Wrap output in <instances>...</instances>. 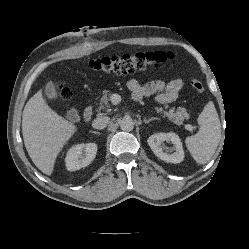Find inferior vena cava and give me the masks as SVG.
<instances>
[{
	"instance_id": "inferior-vena-cava-1",
	"label": "inferior vena cava",
	"mask_w": 249,
	"mask_h": 249,
	"mask_svg": "<svg viewBox=\"0 0 249 249\" xmlns=\"http://www.w3.org/2000/svg\"><path fill=\"white\" fill-rule=\"evenodd\" d=\"M109 121H110V118L107 116L97 117L92 122V126L95 129H104L109 123Z\"/></svg>"
}]
</instances>
